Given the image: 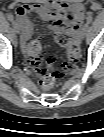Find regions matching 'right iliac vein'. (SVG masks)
<instances>
[{
	"label": "right iliac vein",
	"mask_w": 104,
	"mask_h": 137,
	"mask_svg": "<svg viewBox=\"0 0 104 137\" xmlns=\"http://www.w3.org/2000/svg\"><path fill=\"white\" fill-rule=\"evenodd\" d=\"M13 28H14L15 33L20 34L21 30H20V26L17 22H13Z\"/></svg>",
	"instance_id": "right-iliac-vein-1"
}]
</instances>
